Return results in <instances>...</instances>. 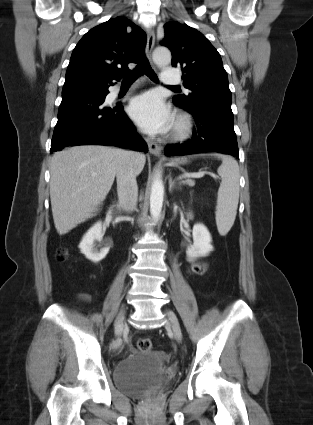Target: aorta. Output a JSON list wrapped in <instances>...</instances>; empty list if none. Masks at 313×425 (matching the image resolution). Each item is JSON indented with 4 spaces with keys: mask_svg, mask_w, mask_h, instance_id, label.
I'll list each match as a JSON object with an SVG mask.
<instances>
[{
    "mask_svg": "<svg viewBox=\"0 0 313 425\" xmlns=\"http://www.w3.org/2000/svg\"><path fill=\"white\" fill-rule=\"evenodd\" d=\"M171 52L165 47H158L153 52V61L159 67H165L171 62ZM164 185L161 180V174L158 172L155 175L151 186L150 194V213L152 218L158 219L163 206Z\"/></svg>",
    "mask_w": 313,
    "mask_h": 425,
    "instance_id": "obj_1",
    "label": "aorta"
}]
</instances>
